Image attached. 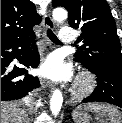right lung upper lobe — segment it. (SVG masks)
Wrapping results in <instances>:
<instances>
[{
    "instance_id": "1",
    "label": "right lung upper lobe",
    "mask_w": 122,
    "mask_h": 123,
    "mask_svg": "<svg viewBox=\"0 0 122 123\" xmlns=\"http://www.w3.org/2000/svg\"><path fill=\"white\" fill-rule=\"evenodd\" d=\"M30 0H1V41L29 40L42 18Z\"/></svg>"
}]
</instances>
